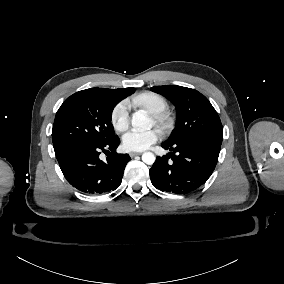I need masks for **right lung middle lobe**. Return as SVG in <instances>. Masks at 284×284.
Segmentation results:
<instances>
[{
    "label": "right lung middle lobe",
    "instance_id": "obj_1",
    "mask_svg": "<svg viewBox=\"0 0 284 284\" xmlns=\"http://www.w3.org/2000/svg\"><path fill=\"white\" fill-rule=\"evenodd\" d=\"M118 102L101 88L82 90L68 97L55 116L54 150L79 143H105L115 138L111 116Z\"/></svg>",
    "mask_w": 284,
    "mask_h": 284
}]
</instances>
